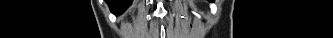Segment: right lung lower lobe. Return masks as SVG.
I'll return each mask as SVG.
<instances>
[{"mask_svg":"<svg viewBox=\"0 0 333 38\" xmlns=\"http://www.w3.org/2000/svg\"><path fill=\"white\" fill-rule=\"evenodd\" d=\"M116 4L118 5V7L121 5V3H113V5H116ZM122 4L125 5V2H122Z\"/></svg>","mask_w":333,"mask_h":38,"instance_id":"1","label":"right lung lower lobe"}]
</instances>
